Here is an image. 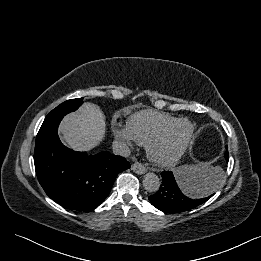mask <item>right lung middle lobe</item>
Here are the masks:
<instances>
[{"mask_svg":"<svg viewBox=\"0 0 261 261\" xmlns=\"http://www.w3.org/2000/svg\"><path fill=\"white\" fill-rule=\"evenodd\" d=\"M83 98L71 99L63 102L55 109H53L46 118H51L55 116H64L69 112L75 111L83 103Z\"/></svg>","mask_w":261,"mask_h":261,"instance_id":"1","label":"right lung middle lobe"}]
</instances>
